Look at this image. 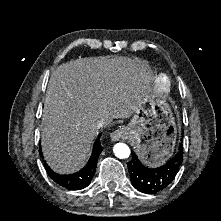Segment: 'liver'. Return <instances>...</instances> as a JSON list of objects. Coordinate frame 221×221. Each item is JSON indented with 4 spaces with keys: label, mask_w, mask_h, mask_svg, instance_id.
<instances>
[{
    "label": "liver",
    "mask_w": 221,
    "mask_h": 221,
    "mask_svg": "<svg viewBox=\"0 0 221 221\" xmlns=\"http://www.w3.org/2000/svg\"><path fill=\"white\" fill-rule=\"evenodd\" d=\"M147 84L140 59L121 56L79 58L51 74L42 116L41 145L48 165L69 174L87 162L104 119L130 118Z\"/></svg>",
    "instance_id": "6515ba94"
}]
</instances>
